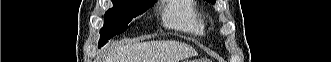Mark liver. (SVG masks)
Listing matches in <instances>:
<instances>
[{
    "label": "liver",
    "mask_w": 331,
    "mask_h": 62,
    "mask_svg": "<svg viewBox=\"0 0 331 62\" xmlns=\"http://www.w3.org/2000/svg\"><path fill=\"white\" fill-rule=\"evenodd\" d=\"M195 54L191 46L176 41H151L133 45L117 42L107 48L103 62H180Z\"/></svg>",
    "instance_id": "liver-1"
}]
</instances>
